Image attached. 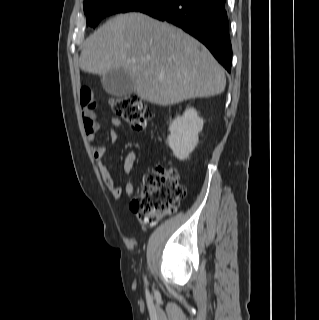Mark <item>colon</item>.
Instances as JSON below:
<instances>
[{
	"label": "colon",
	"mask_w": 319,
	"mask_h": 320,
	"mask_svg": "<svg viewBox=\"0 0 319 320\" xmlns=\"http://www.w3.org/2000/svg\"><path fill=\"white\" fill-rule=\"evenodd\" d=\"M111 105L132 130H146L152 112L138 95L114 97ZM185 197L186 189L173 169L157 165L147 175L145 185L130 203V209L142 225L152 226L174 212Z\"/></svg>",
	"instance_id": "1"
}]
</instances>
